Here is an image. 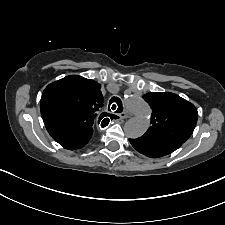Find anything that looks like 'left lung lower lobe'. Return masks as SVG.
I'll return each mask as SVG.
<instances>
[{
    "instance_id": "left-lung-lower-lobe-1",
    "label": "left lung lower lobe",
    "mask_w": 225,
    "mask_h": 225,
    "mask_svg": "<svg viewBox=\"0 0 225 225\" xmlns=\"http://www.w3.org/2000/svg\"><path fill=\"white\" fill-rule=\"evenodd\" d=\"M132 146L141 154L150 158H159L177 150L183 143L152 140L144 137L129 139Z\"/></svg>"
}]
</instances>
